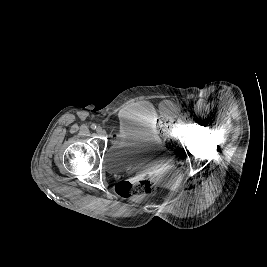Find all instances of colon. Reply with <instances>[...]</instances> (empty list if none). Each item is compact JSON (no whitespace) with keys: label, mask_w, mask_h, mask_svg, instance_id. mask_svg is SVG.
<instances>
[{"label":"colon","mask_w":267,"mask_h":267,"mask_svg":"<svg viewBox=\"0 0 267 267\" xmlns=\"http://www.w3.org/2000/svg\"><path fill=\"white\" fill-rule=\"evenodd\" d=\"M168 122L161 121V126L166 127ZM158 191V184L154 178L145 175L133 183L123 181L117 186V193L123 198L140 197L148 194H155Z\"/></svg>","instance_id":"obj_1"}]
</instances>
